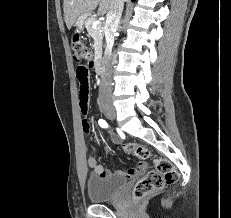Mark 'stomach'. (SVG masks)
Returning <instances> with one entry per match:
<instances>
[{
	"mask_svg": "<svg viewBox=\"0 0 231 218\" xmlns=\"http://www.w3.org/2000/svg\"><path fill=\"white\" fill-rule=\"evenodd\" d=\"M85 18H86V16H80L74 22V27L76 28L77 31H82L83 30Z\"/></svg>",
	"mask_w": 231,
	"mask_h": 218,
	"instance_id": "stomach-1",
	"label": "stomach"
}]
</instances>
